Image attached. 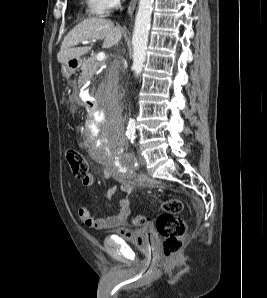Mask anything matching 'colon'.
<instances>
[{
	"mask_svg": "<svg viewBox=\"0 0 267 298\" xmlns=\"http://www.w3.org/2000/svg\"><path fill=\"white\" fill-rule=\"evenodd\" d=\"M67 163L76 178L86 181L89 177L88 163L84 156L75 149L66 152ZM162 213L156 220V227L163 237V253L165 257L175 256L183 247L186 233V222L180 216L183 210V202L178 198H171L160 205ZM146 218L138 215L132 219L134 226L145 224Z\"/></svg>",
	"mask_w": 267,
	"mask_h": 298,
	"instance_id": "5ec220e1",
	"label": "colon"
}]
</instances>
